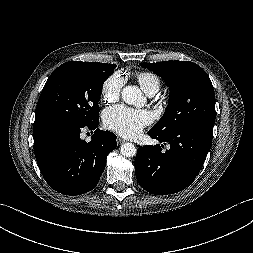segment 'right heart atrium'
Returning a JSON list of instances; mask_svg holds the SVG:
<instances>
[{
    "instance_id": "right-heart-atrium-1",
    "label": "right heart atrium",
    "mask_w": 253,
    "mask_h": 253,
    "mask_svg": "<svg viewBox=\"0 0 253 253\" xmlns=\"http://www.w3.org/2000/svg\"><path fill=\"white\" fill-rule=\"evenodd\" d=\"M123 86V78L120 74H112L103 83L101 89L102 100L112 103L118 100Z\"/></svg>"
}]
</instances>
